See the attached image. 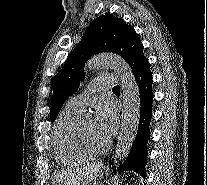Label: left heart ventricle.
Returning a JSON list of instances; mask_svg holds the SVG:
<instances>
[{"label": "left heart ventricle", "mask_w": 207, "mask_h": 185, "mask_svg": "<svg viewBox=\"0 0 207 185\" xmlns=\"http://www.w3.org/2000/svg\"><path fill=\"white\" fill-rule=\"evenodd\" d=\"M83 130L97 147L103 146L108 140L97 131L92 119L83 122Z\"/></svg>", "instance_id": "b2bd125f"}]
</instances>
